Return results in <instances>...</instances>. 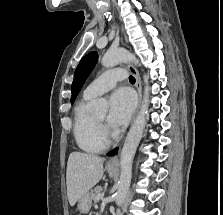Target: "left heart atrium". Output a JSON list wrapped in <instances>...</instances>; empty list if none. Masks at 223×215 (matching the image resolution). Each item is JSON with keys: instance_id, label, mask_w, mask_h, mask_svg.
Masks as SVG:
<instances>
[{"instance_id": "1", "label": "left heart atrium", "mask_w": 223, "mask_h": 215, "mask_svg": "<svg viewBox=\"0 0 223 215\" xmlns=\"http://www.w3.org/2000/svg\"><path fill=\"white\" fill-rule=\"evenodd\" d=\"M109 102L108 126L111 129H119L127 125L135 105L131 92L126 88H121L110 96Z\"/></svg>"}]
</instances>
